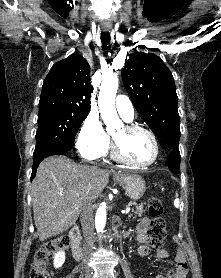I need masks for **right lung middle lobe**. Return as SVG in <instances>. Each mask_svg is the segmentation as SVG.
Returning <instances> with one entry per match:
<instances>
[{"mask_svg":"<svg viewBox=\"0 0 221 278\" xmlns=\"http://www.w3.org/2000/svg\"><path fill=\"white\" fill-rule=\"evenodd\" d=\"M88 113L43 109L38 113L35 151L56 142H71Z\"/></svg>","mask_w":221,"mask_h":278,"instance_id":"dd1d6c3e","label":"right lung middle lobe"}]
</instances>
